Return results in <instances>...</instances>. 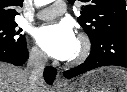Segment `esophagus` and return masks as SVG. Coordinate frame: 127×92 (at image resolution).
I'll use <instances>...</instances> for the list:
<instances>
[{"instance_id":"esophagus-1","label":"esophagus","mask_w":127,"mask_h":92,"mask_svg":"<svg viewBox=\"0 0 127 92\" xmlns=\"http://www.w3.org/2000/svg\"><path fill=\"white\" fill-rule=\"evenodd\" d=\"M67 85V83L62 80L59 76L56 77L55 82H54V86L56 88H61V87H65Z\"/></svg>"}]
</instances>
